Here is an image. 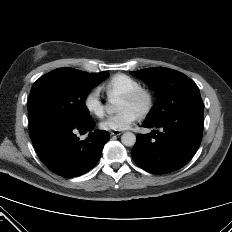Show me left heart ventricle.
Listing matches in <instances>:
<instances>
[{"mask_svg": "<svg viewBox=\"0 0 232 232\" xmlns=\"http://www.w3.org/2000/svg\"><path fill=\"white\" fill-rule=\"evenodd\" d=\"M125 109H133L135 111H139V103H133L130 102L124 98L121 99L120 105H119V110L123 111Z\"/></svg>", "mask_w": 232, "mask_h": 232, "instance_id": "b2bd125f", "label": "left heart ventricle"}]
</instances>
